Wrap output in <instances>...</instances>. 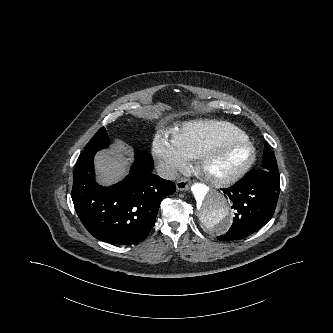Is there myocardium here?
Segmentation results:
<instances>
[{
    "label": "myocardium",
    "mask_w": 333,
    "mask_h": 333,
    "mask_svg": "<svg viewBox=\"0 0 333 333\" xmlns=\"http://www.w3.org/2000/svg\"><path fill=\"white\" fill-rule=\"evenodd\" d=\"M233 142H239L244 145L247 150V155L245 159L235 169L228 173L213 174L209 172L207 166L214 152L222 145ZM255 160L256 149L250 139L248 137L234 135L221 136L214 139L209 144H207L196 157L198 170L207 181L218 187L229 186L238 181L251 168Z\"/></svg>",
    "instance_id": "1"
}]
</instances>
